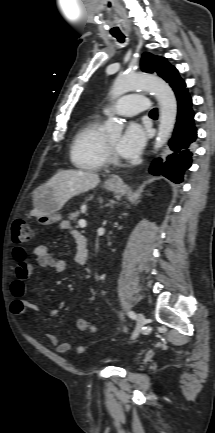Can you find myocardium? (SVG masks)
<instances>
[{"label": "myocardium", "mask_w": 215, "mask_h": 433, "mask_svg": "<svg viewBox=\"0 0 215 433\" xmlns=\"http://www.w3.org/2000/svg\"><path fill=\"white\" fill-rule=\"evenodd\" d=\"M105 153L107 162L117 165L121 163L120 158L115 152V148L110 144L108 139L105 137Z\"/></svg>", "instance_id": "1"}]
</instances>
